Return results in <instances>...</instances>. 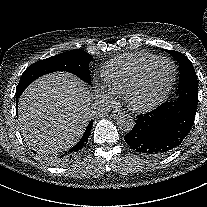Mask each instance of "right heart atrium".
<instances>
[{
	"instance_id": "1",
	"label": "right heart atrium",
	"mask_w": 207,
	"mask_h": 207,
	"mask_svg": "<svg viewBox=\"0 0 207 207\" xmlns=\"http://www.w3.org/2000/svg\"><path fill=\"white\" fill-rule=\"evenodd\" d=\"M94 92L97 97L103 100L109 101L112 99V95L109 93L107 88L100 83L94 82Z\"/></svg>"
}]
</instances>
